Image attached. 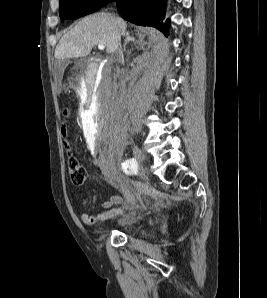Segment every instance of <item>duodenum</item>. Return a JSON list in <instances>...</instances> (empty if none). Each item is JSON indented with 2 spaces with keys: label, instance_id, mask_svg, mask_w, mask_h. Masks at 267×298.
Masks as SVG:
<instances>
[{
  "label": "duodenum",
  "instance_id": "410a0bca",
  "mask_svg": "<svg viewBox=\"0 0 267 298\" xmlns=\"http://www.w3.org/2000/svg\"><path fill=\"white\" fill-rule=\"evenodd\" d=\"M85 75H83V93L85 97H89L88 101H83V112H92L93 109V98L90 97L91 93L94 92L95 87H99L100 83L96 80L98 75L97 67H86Z\"/></svg>",
  "mask_w": 267,
  "mask_h": 298
}]
</instances>
